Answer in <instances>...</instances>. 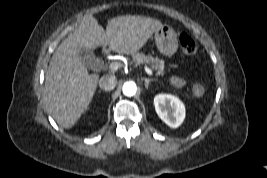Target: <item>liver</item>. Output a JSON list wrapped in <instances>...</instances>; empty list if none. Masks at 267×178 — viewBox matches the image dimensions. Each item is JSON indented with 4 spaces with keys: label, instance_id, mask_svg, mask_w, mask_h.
Here are the masks:
<instances>
[{
    "label": "liver",
    "instance_id": "liver-1",
    "mask_svg": "<svg viewBox=\"0 0 267 178\" xmlns=\"http://www.w3.org/2000/svg\"><path fill=\"white\" fill-rule=\"evenodd\" d=\"M159 20L140 16L111 19L106 30L92 16L70 34L52 56L45 77L47 112L63 128H71L90 105L99 75L89 74L81 52L101 46L120 54L139 51L161 29Z\"/></svg>",
    "mask_w": 267,
    "mask_h": 178
}]
</instances>
